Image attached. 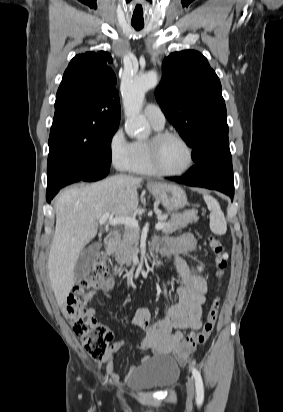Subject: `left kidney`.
<instances>
[{"label": "left kidney", "mask_w": 283, "mask_h": 412, "mask_svg": "<svg viewBox=\"0 0 283 412\" xmlns=\"http://www.w3.org/2000/svg\"><path fill=\"white\" fill-rule=\"evenodd\" d=\"M198 270H199V271H202V267H198Z\"/></svg>", "instance_id": "5707ae66"}]
</instances>
